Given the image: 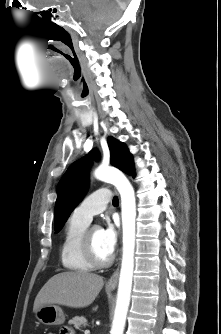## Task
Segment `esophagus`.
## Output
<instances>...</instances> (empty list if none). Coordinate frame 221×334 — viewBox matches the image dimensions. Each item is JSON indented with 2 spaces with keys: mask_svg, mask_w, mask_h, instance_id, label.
I'll use <instances>...</instances> for the list:
<instances>
[{
  "mask_svg": "<svg viewBox=\"0 0 221 334\" xmlns=\"http://www.w3.org/2000/svg\"><path fill=\"white\" fill-rule=\"evenodd\" d=\"M118 276H119V267L115 270V272L112 274V276L107 281L108 287H115L118 282Z\"/></svg>",
  "mask_w": 221,
  "mask_h": 334,
  "instance_id": "34e87169",
  "label": "esophagus"
}]
</instances>
